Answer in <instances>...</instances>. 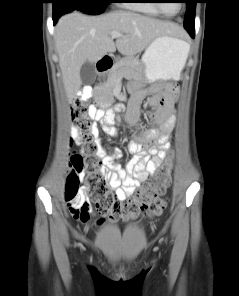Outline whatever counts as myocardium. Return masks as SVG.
Wrapping results in <instances>:
<instances>
[{
  "label": "myocardium",
  "instance_id": "obj_1",
  "mask_svg": "<svg viewBox=\"0 0 239 296\" xmlns=\"http://www.w3.org/2000/svg\"><path fill=\"white\" fill-rule=\"evenodd\" d=\"M153 2H154V5H155V7L162 13V14H164V15H166V16H172V15H174V13L173 14H169V13H167L165 10H164V8L162 7V5H161V3H159V0H152ZM180 6H181V3H179V8H178V10L175 12V13H177L179 10H180Z\"/></svg>",
  "mask_w": 239,
  "mask_h": 296
}]
</instances>
